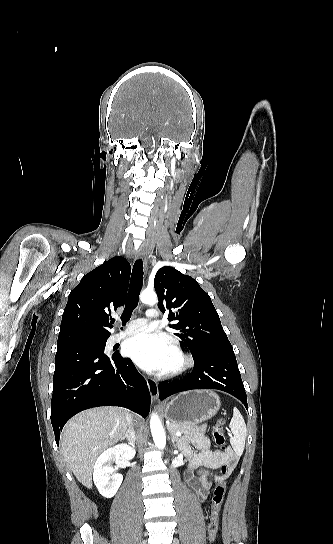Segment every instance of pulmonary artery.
<instances>
[{"mask_svg":"<svg viewBox=\"0 0 333 544\" xmlns=\"http://www.w3.org/2000/svg\"><path fill=\"white\" fill-rule=\"evenodd\" d=\"M159 318L158 310L150 308L147 311V318H137L127 324H125L124 329L120 332H117L109 338V344L113 345L123 339L124 337L143 331L147 327L148 320H156Z\"/></svg>","mask_w":333,"mask_h":544,"instance_id":"pulmonary-artery-1","label":"pulmonary artery"}]
</instances>
